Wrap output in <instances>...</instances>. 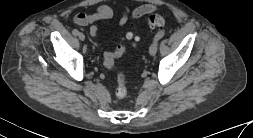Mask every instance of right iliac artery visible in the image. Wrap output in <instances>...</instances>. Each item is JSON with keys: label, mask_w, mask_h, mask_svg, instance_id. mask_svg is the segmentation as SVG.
<instances>
[{"label": "right iliac artery", "mask_w": 253, "mask_h": 138, "mask_svg": "<svg viewBox=\"0 0 253 138\" xmlns=\"http://www.w3.org/2000/svg\"><path fill=\"white\" fill-rule=\"evenodd\" d=\"M72 33L73 35L77 36L79 34V31L77 29H74Z\"/></svg>", "instance_id": "1"}]
</instances>
